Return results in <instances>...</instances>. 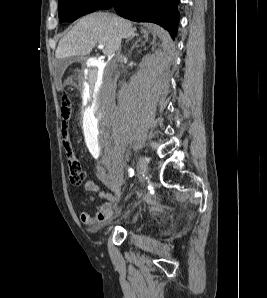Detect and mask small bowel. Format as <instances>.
<instances>
[{
    "label": "small bowel",
    "instance_id": "c3829d8e",
    "mask_svg": "<svg viewBox=\"0 0 267 298\" xmlns=\"http://www.w3.org/2000/svg\"><path fill=\"white\" fill-rule=\"evenodd\" d=\"M100 176H102L100 174ZM111 192H105L91 180L85 183V189L87 191L96 192L101 198L105 200L102 203L94 215L89 212H82L80 214V220L83 224L90 227H99L109 221L114 213L115 205L120 201V193L122 191L121 180H116L110 184Z\"/></svg>",
    "mask_w": 267,
    "mask_h": 298
}]
</instances>
